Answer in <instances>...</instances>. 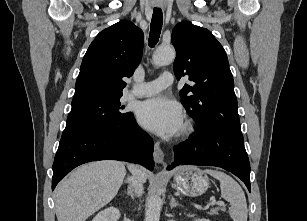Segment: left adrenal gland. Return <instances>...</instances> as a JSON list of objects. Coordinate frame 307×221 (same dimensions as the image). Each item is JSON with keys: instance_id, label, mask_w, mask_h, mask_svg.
Masks as SVG:
<instances>
[{"instance_id": "a2214340", "label": "left adrenal gland", "mask_w": 307, "mask_h": 221, "mask_svg": "<svg viewBox=\"0 0 307 221\" xmlns=\"http://www.w3.org/2000/svg\"><path fill=\"white\" fill-rule=\"evenodd\" d=\"M176 206H181V204H179V202H177L176 199L172 197L170 201V207L172 209V208H175Z\"/></svg>"}]
</instances>
